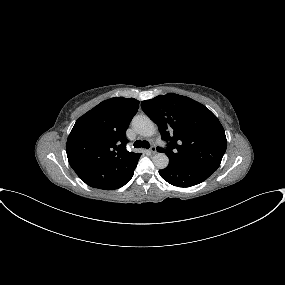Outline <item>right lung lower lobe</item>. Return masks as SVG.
Here are the masks:
<instances>
[{"label": "right lung lower lobe", "instance_id": "1", "mask_svg": "<svg viewBox=\"0 0 285 285\" xmlns=\"http://www.w3.org/2000/svg\"><path fill=\"white\" fill-rule=\"evenodd\" d=\"M132 176H133V173H132L131 176H130L127 180H125L124 182H122V183H120V184H118V185H115V186H113V187H110V188H108V189H105V190H112V189H117V188L122 187V186L125 185L127 182H129V180L132 178Z\"/></svg>", "mask_w": 285, "mask_h": 285}]
</instances>
